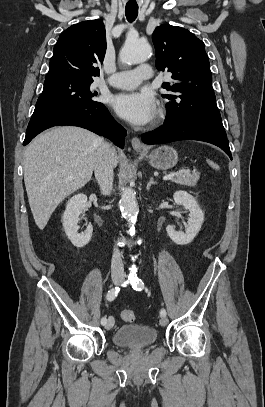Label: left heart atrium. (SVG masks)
<instances>
[{
  "mask_svg": "<svg viewBox=\"0 0 265 407\" xmlns=\"http://www.w3.org/2000/svg\"><path fill=\"white\" fill-rule=\"evenodd\" d=\"M111 105L121 117L134 125H145L156 115L154 96L147 91L116 94Z\"/></svg>",
  "mask_w": 265,
  "mask_h": 407,
  "instance_id": "obj_1",
  "label": "left heart atrium"
}]
</instances>
